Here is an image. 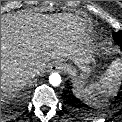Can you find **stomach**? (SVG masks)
Instances as JSON below:
<instances>
[{
	"label": "stomach",
	"instance_id": "1",
	"mask_svg": "<svg viewBox=\"0 0 122 122\" xmlns=\"http://www.w3.org/2000/svg\"><path fill=\"white\" fill-rule=\"evenodd\" d=\"M94 61L91 54H88L83 62L79 64L81 69L80 78L86 80L89 77L90 72L92 71L91 63ZM86 83L85 81H78L76 83Z\"/></svg>",
	"mask_w": 122,
	"mask_h": 122
}]
</instances>
